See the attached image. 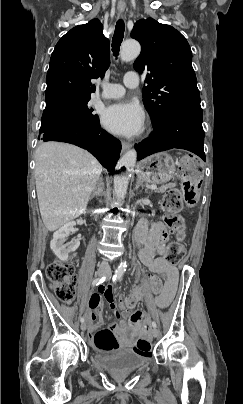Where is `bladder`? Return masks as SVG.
<instances>
[{
    "mask_svg": "<svg viewBox=\"0 0 243 404\" xmlns=\"http://www.w3.org/2000/svg\"><path fill=\"white\" fill-rule=\"evenodd\" d=\"M96 363L104 370L113 374H126L144 367L149 359L142 353L132 349L98 352Z\"/></svg>",
    "mask_w": 243,
    "mask_h": 404,
    "instance_id": "bladder-1",
    "label": "bladder"
}]
</instances>
